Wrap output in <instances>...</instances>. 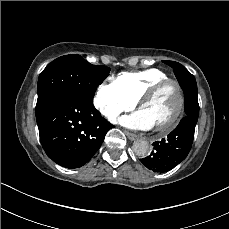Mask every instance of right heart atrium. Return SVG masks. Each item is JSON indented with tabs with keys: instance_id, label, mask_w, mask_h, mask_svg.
Wrapping results in <instances>:
<instances>
[{
	"instance_id": "right-heart-atrium-1",
	"label": "right heart atrium",
	"mask_w": 229,
	"mask_h": 229,
	"mask_svg": "<svg viewBox=\"0 0 229 229\" xmlns=\"http://www.w3.org/2000/svg\"><path fill=\"white\" fill-rule=\"evenodd\" d=\"M94 106L106 119L113 122L119 114L133 110L136 102L113 80L98 86L94 96Z\"/></svg>"
}]
</instances>
